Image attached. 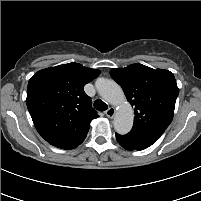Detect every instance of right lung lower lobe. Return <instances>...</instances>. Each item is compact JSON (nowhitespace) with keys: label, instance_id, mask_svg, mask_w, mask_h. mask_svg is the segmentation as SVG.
Masks as SVG:
<instances>
[{"label":"right lung lower lobe","instance_id":"1","mask_svg":"<svg viewBox=\"0 0 201 201\" xmlns=\"http://www.w3.org/2000/svg\"><path fill=\"white\" fill-rule=\"evenodd\" d=\"M86 137V136H85ZM85 137H82L80 139H76V140H73V141H69V142H59V143H54V144H51L55 147H58V148H62V149H73L75 147H77L78 145H80Z\"/></svg>","mask_w":201,"mask_h":201}]
</instances>
